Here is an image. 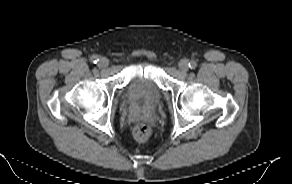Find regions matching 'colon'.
<instances>
[{"label":"colon","mask_w":292,"mask_h":184,"mask_svg":"<svg viewBox=\"0 0 292 184\" xmlns=\"http://www.w3.org/2000/svg\"><path fill=\"white\" fill-rule=\"evenodd\" d=\"M133 137L140 143H146L152 136V129L146 123H138L133 127Z\"/></svg>","instance_id":"colon-1"}]
</instances>
